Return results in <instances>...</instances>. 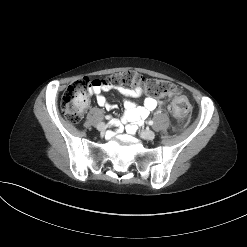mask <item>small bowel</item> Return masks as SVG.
Listing matches in <instances>:
<instances>
[{"instance_id":"c3829d8e","label":"small bowel","mask_w":247,"mask_h":247,"mask_svg":"<svg viewBox=\"0 0 247 247\" xmlns=\"http://www.w3.org/2000/svg\"><path fill=\"white\" fill-rule=\"evenodd\" d=\"M111 89L114 88L110 85L96 83L91 87L90 92L95 96L99 106L106 109H113L114 105L108 102L102 95L103 92ZM115 89L125 97V113L121 121L122 123L127 124L126 130L130 134L134 133L137 125L142 124L149 114L162 104V101H159L152 96L145 97L142 105L133 102L132 99L140 97L143 93L142 88L138 85L133 87H117Z\"/></svg>"}]
</instances>
